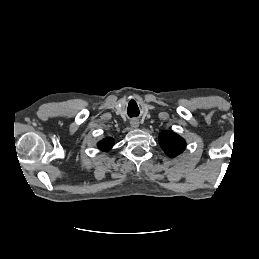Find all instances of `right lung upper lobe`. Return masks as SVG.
I'll list each match as a JSON object with an SVG mask.
<instances>
[{"instance_id": "cb5924a9", "label": "right lung upper lobe", "mask_w": 259, "mask_h": 259, "mask_svg": "<svg viewBox=\"0 0 259 259\" xmlns=\"http://www.w3.org/2000/svg\"><path fill=\"white\" fill-rule=\"evenodd\" d=\"M113 145H114V141L113 139H110V138L104 139L98 143L99 148L103 151L110 150Z\"/></svg>"}]
</instances>
